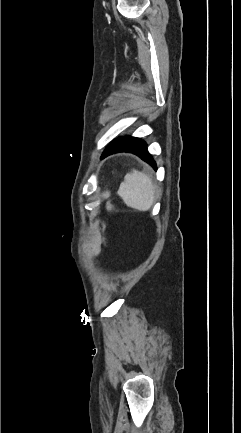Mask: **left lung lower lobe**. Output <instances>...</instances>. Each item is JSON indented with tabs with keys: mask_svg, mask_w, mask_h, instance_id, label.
<instances>
[{
	"mask_svg": "<svg viewBox=\"0 0 241 433\" xmlns=\"http://www.w3.org/2000/svg\"><path fill=\"white\" fill-rule=\"evenodd\" d=\"M123 151L136 154L142 160H144L149 165H151L154 169H157L154 159L152 158V156L149 154V152L147 150L146 143L141 139H139L133 143H130L129 145H125V146H121V147H117L115 149L109 150V151L103 153L102 157H105L107 155L117 153V152H123Z\"/></svg>",
	"mask_w": 241,
	"mask_h": 433,
	"instance_id": "1",
	"label": "left lung lower lobe"
}]
</instances>
